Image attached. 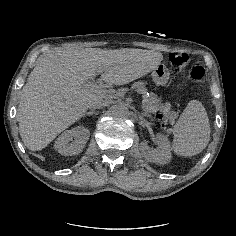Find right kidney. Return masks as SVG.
I'll return each instance as SVG.
<instances>
[{"mask_svg":"<svg viewBox=\"0 0 236 236\" xmlns=\"http://www.w3.org/2000/svg\"><path fill=\"white\" fill-rule=\"evenodd\" d=\"M89 136V130L81 126L70 129L56 140V150L62 155H77L83 150Z\"/></svg>","mask_w":236,"mask_h":236,"instance_id":"ca27d5eb","label":"right kidney"}]
</instances>
